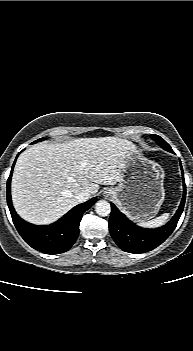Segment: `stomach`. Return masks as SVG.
I'll return each mask as SVG.
<instances>
[{
    "mask_svg": "<svg viewBox=\"0 0 193 351\" xmlns=\"http://www.w3.org/2000/svg\"><path fill=\"white\" fill-rule=\"evenodd\" d=\"M163 181V168L134 146L126 155L121 180L107 191L130 218L145 221L158 213L164 201Z\"/></svg>",
    "mask_w": 193,
    "mask_h": 351,
    "instance_id": "1",
    "label": "stomach"
}]
</instances>
